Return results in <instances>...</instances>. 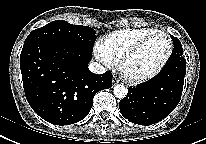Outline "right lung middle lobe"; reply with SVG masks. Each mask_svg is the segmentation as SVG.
I'll list each match as a JSON object with an SVG mask.
<instances>
[{"label": "right lung middle lobe", "instance_id": "dd1d6c3e", "mask_svg": "<svg viewBox=\"0 0 206 144\" xmlns=\"http://www.w3.org/2000/svg\"><path fill=\"white\" fill-rule=\"evenodd\" d=\"M95 39V30L91 27L56 20L33 30L26 38L24 45L37 41H49L92 52Z\"/></svg>", "mask_w": 206, "mask_h": 144}]
</instances>
